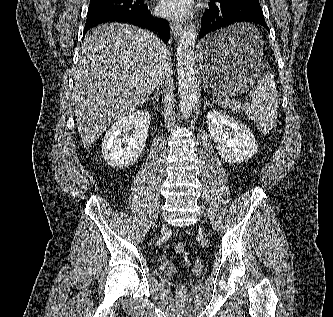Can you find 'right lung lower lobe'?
I'll return each mask as SVG.
<instances>
[{
    "mask_svg": "<svg viewBox=\"0 0 333 317\" xmlns=\"http://www.w3.org/2000/svg\"><path fill=\"white\" fill-rule=\"evenodd\" d=\"M105 22L127 23L155 31L165 44L168 43L170 32L168 22L164 19L154 18L150 10H148L147 6L144 4H140L137 8L127 10L114 9L88 12L84 35L89 28Z\"/></svg>",
    "mask_w": 333,
    "mask_h": 317,
    "instance_id": "98d812e1",
    "label": "right lung lower lobe"
}]
</instances>
